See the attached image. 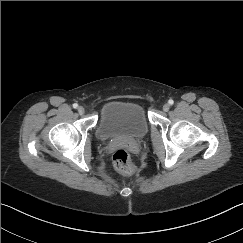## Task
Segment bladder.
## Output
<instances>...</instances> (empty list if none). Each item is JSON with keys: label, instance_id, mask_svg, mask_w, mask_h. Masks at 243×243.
I'll list each match as a JSON object with an SVG mask.
<instances>
[{"label": "bladder", "instance_id": "bladder-1", "mask_svg": "<svg viewBox=\"0 0 243 243\" xmlns=\"http://www.w3.org/2000/svg\"><path fill=\"white\" fill-rule=\"evenodd\" d=\"M148 129V121L141 105L113 100L101 112L96 135L102 140L137 141L147 135Z\"/></svg>", "mask_w": 243, "mask_h": 243}]
</instances>
